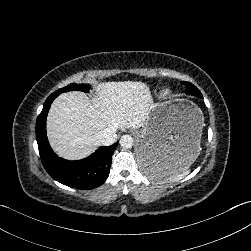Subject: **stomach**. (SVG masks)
<instances>
[{
  "instance_id": "stomach-1",
  "label": "stomach",
  "mask_w": 251,
  "mask_h": 251,
  "mask_svg": "<svg viewBox=\"0 0 251 251\" xmlns=\"http://www.w3.org/2000/svg\"><path fill=\"white\" fill-rule=\"evenodd\" d=\"M203 127V112L192 101L153 105L144 126L135 132V152L143 172L148 175L155 163L175 174L192 164L200 152Z\"/></svg>"
}]
</instances>
